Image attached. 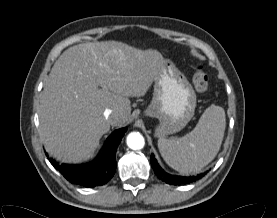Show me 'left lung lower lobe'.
<instances>
[{
	"mask_svg": "<svg viewBox=\"0 0 277 218\" xmlns=\"http://www.w3.org/2000/svg\"><path fill=\"white\" fill-rule=\"evenodd\" d=\"M151 165L153 167L155 174L160 179H162L166 183L172 184V185H181V184L192 183V182H195L196 180L202 178L205 175V173L198 174L196 176H189V177L170 175L161 169V167L159 166V164L157 163V161L153 155L151 156Z\"/></svg>",
	"mask_w": 277,
	"mask_h": 218,
	"instance_id": "1",
	"label": "left lung lower lobe"
}]
</instances>
